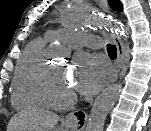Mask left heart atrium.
Here are the masks:
<instances>
[{"mask_svg": "<svg viewBox=\"0 0 151 131\" xmlns=\"http://www.w3.org/2000/svg\"><path fill=\"white\" fill-rule=\"evenodd\" d=\"M73 66L71 84L73 89L82 95L90 96L94 94L106 78L104 66L91 55H77Z\"/></svg>", "mask_w": 151, "mask_h": 131, "instance_id": "1", "label": "left heart atrium"}]
</instances>
